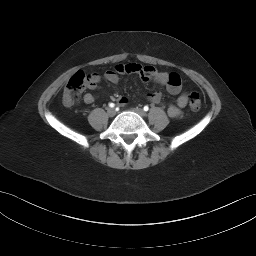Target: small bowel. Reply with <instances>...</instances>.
<instances>
[{
	"instance_id": "small-bowel-1",
	"label": "small bowel",
	"mask_w": 256,
	"mask_h": 256,
	"mask_svg": "<svg viewBox=\"0 0 256 256\" xmlns=\"http://www.w3.org/2000/svg\"><path fill=\"white\" fill-rule=\"evenodd\" d=\"M125 73L138 74L144 81H153L159 85L165 86L171 95H178L176 104H170L166 107V111L171 118H178L182 114V109L187 105L188 95L182 92L181 78L177 73H166L157 71L149 65H141L137 63L118 64L112 70H107L103 77L107 82L116 84L119 81V75ZM89 87L92 90H98L100 76L93 74ZM150 102L155 104L161 103V93L152 92L147 95ZM118 104L122 107L127 106L129 99L126 96L116 98ZM83 101L86 104H92L95 101V96L92 93H86L83 96Z\"/></svg>"
}]
</instances>
